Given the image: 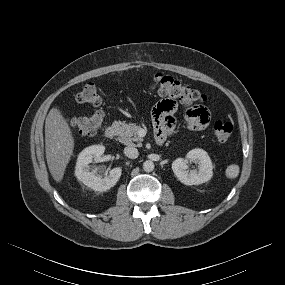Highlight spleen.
Returning <instances> with one entry per match:
<instances>
[{"label": "spleen", "instance_id": "3e777b00", "mask_svg": "<svg viewBox=\"0 0 285 285\" xmlns=\"http://www.w3.org/2000/svg\"><path fill=\"white\" fill-rule=\"evenodd\" d=\"M226 177L229 179H235L239 175V166L232 164L226 168Z\"/></svg>", "mask_w": 285, "mask_h": 285}]
</instances>
